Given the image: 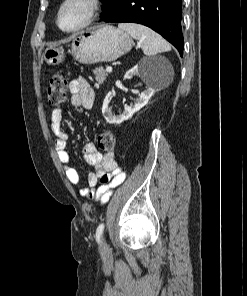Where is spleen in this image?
Masks as SVG:
<instances>
[{
	"label": "spleen",
	"instance_id": "3e777b00",
	"mask_svg": "<svg viewBox=\"0 0 247 296\" xmlns=\"http://www.w3.org/2000/svg\"><path fill=\"white\" fill-rule=\"evenodd\" d=\"M118 28L134 39L142 41V50L148 57L171 50L170 44L152 29L135 23H120Z\"/></svg>",
	"mask_w": 247,
	"mask_h": 296
}]
</instances>
